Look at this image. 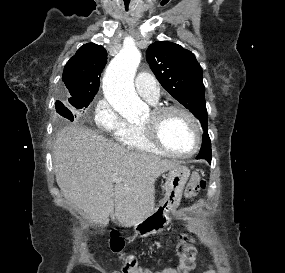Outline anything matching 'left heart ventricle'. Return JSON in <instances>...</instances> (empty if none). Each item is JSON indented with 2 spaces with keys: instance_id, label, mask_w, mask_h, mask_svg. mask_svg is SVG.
<instances>
[{
  "instance_id": "left-heart-ventricle-1",
  "label": "left heart ventricle",
  "mask_w": 285,
  "mask_h": 273,
  "mask_svg": "<svg viewBox=\"0 0 285 273\" xmlns=\"http://www.w3.org/2000/svg\"><path fill=\"white\" fill-rule=\"evenodd\" d=\"M153 122L150 112L142 124ZM158 133L163 143L171 150L187 153L195 144V130L191 121L179 112H170L158 120Z\"/></svg>"
}]
</instances>
